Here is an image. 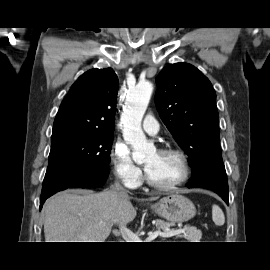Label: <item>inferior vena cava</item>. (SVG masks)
<instances>
[{
	"mask_svg": "<svg viewBox=\"0 0 270 270\" xmlns=\"http://www.w3.org/2000/svg\"><path fill=\"white\" fill-rule=\"evenodd\" d=\"M112 190H113V191H116V192H118V193H120L121 195H124V196H127V195H128V194H127V190L124 189V188L120 185V183H119L118 181H116V182L114 183V185H112Z\"/></svg>",
	"mask_w": 270,
	"mask_h": 270,
	"instance_id": "1",
	"label": "inferior vena cava"
}]
</instances>
